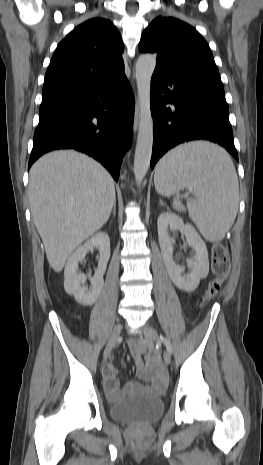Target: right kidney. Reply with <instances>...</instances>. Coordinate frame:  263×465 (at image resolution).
Returning <instances> with one entry per match:
<instances>
[{"instance_id": "right-kidney-1", "label": "right kidney", "mask_w": 263, "mask_h": 465, "mask_svg": "<svg viewBox=\"0 0 263 465\" xmlns=\"http://www.w3.org/2000/svg\"><path fill=\"white\" fill-rule=\"evenodd\" d=\"M93 248L99 249L100 257L98 268L94 276L90 278L91 287H85L87 277L77 272L78 264L82 262L86 254ZM110 258V239L105 232H98L69 257L64 270V289L74 295L75 300L82 305H92L98 299L104 286L103 275Z\"/></svg>"}]
</instances>
